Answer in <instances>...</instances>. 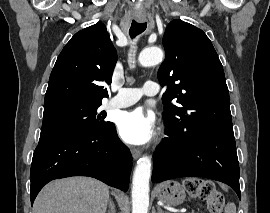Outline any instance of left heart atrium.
<instances>
[{
	"label": "left heart atrium",
	"mask_w": 270,
	"mask_h": 213,
	"mask_svg": "<svg viewBox=\"0 0 270 213\" xmlns=\"http://www.w3.org/2000/svg\"><path fill=\"white\" fill-rule=\"evenodd\" d=\"M120 137L129 144L141 145L151 140L154 134V116L145 114L137 108L124 112L120 115L118 122Z\"/></svg>",
	"instance_id": "obj_1"
}]
</instances>
